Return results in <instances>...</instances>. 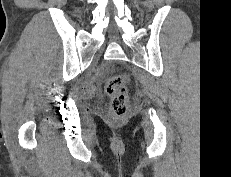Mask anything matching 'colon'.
<instances>
[{
    "mask_svg": "<svg viewBox=\"0 0 231 177\" xmlns=\"http://www.w3.org/2000/svg\"><path fill=\"white\" fill-rule=\"evenodd\" d=\"M128 74H119L111 77L106 83V92L110 97V108L115 118L123 117L129 106Z\"/></svg>",
    "mask_w": 231,
    "mask_h": 177,
    "instance_id": "1",
    "label": "colon"
}]
</instances>
